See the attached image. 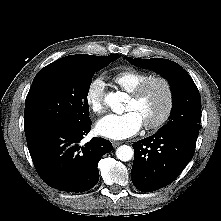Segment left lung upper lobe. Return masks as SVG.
<instances>
[{
    "label": "left lung upper lobe",
    "mask_w": 221,
    "mask_h": 221,
    "mask_svg": "<svg viewBox=\"0 0 221 221\" xmlns=\"http://www.w3.org/2000/svg\"><path fill=\"white\" fill-rule=\"evenodd\" d=\"M130 63L139 67L157 71L170 83L173 106L169 122L159 131L171 129H200L201 97L191 76L179 64L168 59H138L125 57Z\"/></svg>",
    "instance_id": "1"
}]
</instances>
